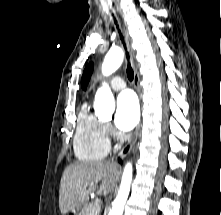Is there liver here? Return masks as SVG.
I'll return each instance as SVG.
<instances>
[{
  "label": "liver",
  "instance_id": "6515ba94",
  "mask_svg": "<svg viewBox=\"0 0 221 215\" xmlns=\"http://www.w3.org/2000/svg\"><path fill=\"white\" fill-rule=\"evenodd\" d=\"M118 179V166L110 161L76 162L62 175L59 190L61 214L81 208L95 190L99 194L111 192ZM101 181L100 188L97 183Z\"/></svg>",
  "mask_w": 221,
  "mask_h": 215
}]
</instances>
